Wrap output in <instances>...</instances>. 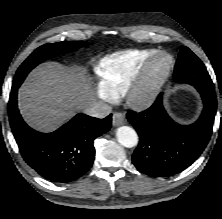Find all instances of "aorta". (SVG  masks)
<instances>
[{"label":"aorta","instance_id":"762f6f07","mask_svg":"<svg viewBox=\"0 0 222 219\" xmlns=\"http://www.w3.org/2000/svg\"><path fill=\"white\" fill-rule=\"evenodd\" d=\"M116 138L118 142L127 148H132L138 143V135L136 131L129 126H121L116 130Z\"/></svg>","mask_w":222,"mask_h":219}]
</instances>
